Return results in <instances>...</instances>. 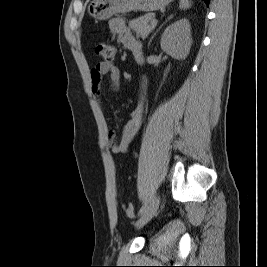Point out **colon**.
<instances>
[{"mask_svg": "<svg viewBox=\"0 0 267 267\" xmlns=\"http://www.w3.org/2000/svg\"><path fill=\"white\" fill-rule=\"evenodd\" d=\"M94 50L105 63L112 62L116 55V47L109 43L97 42L94 44ZM123 209L127 217L134 218L135 210L131 203L124 204Z\"/></svg>", "mask_w": 267, "mask_h": 267, "instance_id": "5ec220e1", "label": "colon"}]
</instances>
